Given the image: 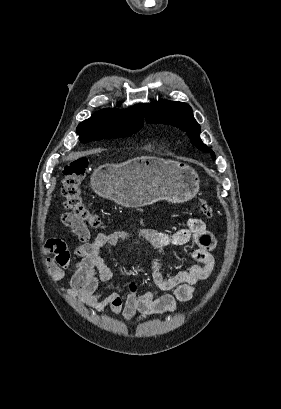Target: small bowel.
<instances>
[{
	"instance_id": "c3829d8e",
	"label": "small bowel",
	"mask_w": 281,
	"mask_h": 409,
	"mask_svg": "<svg viewBox=\"0 0 281 409\" xmlns=\"http://www.w3.org/2000/svg\"><path fill=\"white\" fill-rule=\"evenodd\" d=\"M62 223L72 229L81 244L70 252L62 239H48L45 251L55 253L54 258H47L48 271L56 280L63 278L65 270L71 265V256H74V273L68 292L97 311L110 308L113 314L121 316L125 322H142L151 315L175 312L177 304L190 300L196 283L209 278L215 266L213 251L216 248V238L201 219H188L174 233L143 229L138 236L146 239L158 252L151 261L153 283L161 290H172L173 295L155 297L150 290L139 294L134 280L126 282V297L118 293L106 294L104 287L113 278V273L102 258V250L130 235L124 231H116L109 234L97 233L91 239L86 225L70 212L63 213ZM185 244L197 246L190 252V257L196 263H190L174 274L164 275L161 271L164 249Z\"/></svg>"
}]
</instances>
